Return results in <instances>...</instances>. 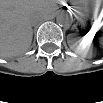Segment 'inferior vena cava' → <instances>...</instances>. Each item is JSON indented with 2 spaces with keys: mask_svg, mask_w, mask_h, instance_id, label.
I'll list each match as a JSON object with an SVG mask.
<instances>
[{
  "mask_svg": "<svg viewBox=\"0 0 103 103\" xmlns=\"http://www.w3.org/2000/svg\"><path fill=\"white\" fill-rule=\"evenodd\" d=\"M40 19V16H32V20Z\"/></svg>",
  "mask_w": 103,
  "mask_h": 103,
  "instance_id": "602c4592",
  "label": "inferior vena cava"
}]
</instances>
